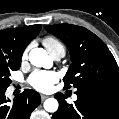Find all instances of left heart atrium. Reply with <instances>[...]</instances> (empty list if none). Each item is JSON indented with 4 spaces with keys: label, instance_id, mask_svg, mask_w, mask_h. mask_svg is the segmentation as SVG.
<instances>
[{
    "label": "left heart atrium",
    "instance_id": "obj_1",
    "mask_svg": "<svg viewBox=\"0 0 119 119\" xmlns=\"http://www.w3.org/2000/svg\"><path fill=\"white\" fill-rule=\"evenodd\" d=\"M58 80V75L54 71H35L29 77V84L39 91H49Z\"/></svg>",
    "mask_w": 119,
    "mask_h": 119
}]
</instances>
